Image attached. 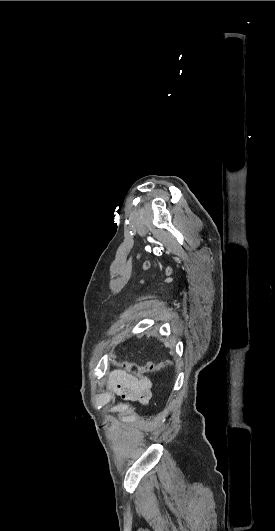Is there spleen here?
I'll return each mask as SVG.
<instances>
[{
  "mask_svg": "<svg viewBox=\"0 0 275 531\" xmlns=\"http://www.w3.org/2000/svg\"><path fill=\"white\" fill-rule=\"evenodd\" d=\"M166 347H169L168 343H165Z\"/></svg>",
  "mask_w": 275,
  "mask_h": 531,
  "instance_id": "spleen-1",
  "label": "spleen"
}]
</instances>
